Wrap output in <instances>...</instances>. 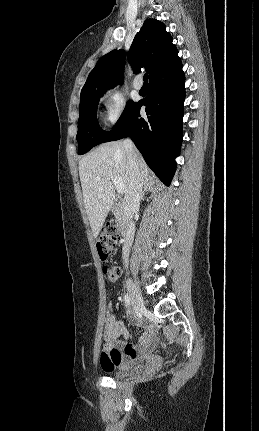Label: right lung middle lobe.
Segmentation results:
<instances>
[{"label": "right lung middle lobe", "mask_w": 259, "mask_h": 431, "mask_svg": "<svg viewBox=\"0 0 259 431\" xmlns=\"http://www.w3.org/2000/svg\"><path fill=\"white\" fill-rule=\"evenodd\" d=\"M102 93H91L80 101V117L78 120L77 141L79 155L88 152L94 146L103 143L111 131H103L97 121V106ZM136 103L129 101L116 126L125 118ZM115 126V127H116Z\"/></svg>", "instance_id": "right-lung-middle-lobe-1"}]
</instances>
